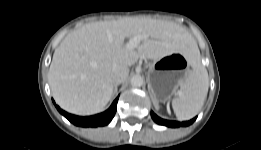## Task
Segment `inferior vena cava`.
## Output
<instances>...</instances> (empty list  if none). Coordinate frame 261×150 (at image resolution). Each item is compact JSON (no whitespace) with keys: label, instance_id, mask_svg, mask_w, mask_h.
<instances>
[{"label":"inferior vena cava","instance_id":"obj_1","mask_svg":"<svg viewBox=\"0 0 261 150\" xmlns=\"http://www.w3.org/2000/svg\"><path fill=\"white\" fill-rule=\"evenodd\" d=\"M129 75V68L127 66H114L111 77L114 83H121L126 80Z\"/></svg>","mask_w":261,"mask_h":150}]
</instances>
